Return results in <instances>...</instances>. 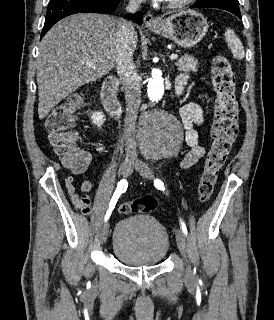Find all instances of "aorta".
<instances>
[{
  "label": "aorta",
  "mask_w": 274,
  "mask_h": 320,
  "mask_svg": "<svg viewBox=\"0 0 274 320\" xmlns=\"http://www.w3.org/2000/svg\"><path fill=\"white\" fill-rule=\"evenodd\" d=\"M147 94L153 105L163 101L164 79L159 69H153L147 85ZM181 126L175 117L155 108L143 115L138 124V140L144 155L161 158L172 154L181 135Z\"/></svg>",
  "instance_id": "aorta-1"
}]
</instances>
